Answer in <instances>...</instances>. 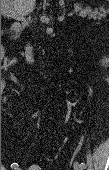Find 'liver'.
<instances>
[{"label":"liver","instance_id":"1","mask_svg":"<svg viewBox=\"0 0 109 170\" xmlns=\"http://www.w3.org/2000/svg\"><path fill=\"white\" fill-rule=\"evenodd\" d=\"M2 8L7 7L20 15H27L34 11L36 0H2Z\"/></svg>","mask_w":109,"mask_h":170}]
</instances>
